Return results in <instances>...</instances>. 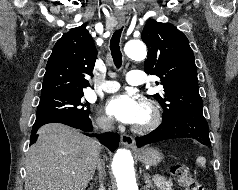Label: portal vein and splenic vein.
<instances>
[{
    "label": "portal vein and splenic vein",
    "instance_id": "obj_1",
    "mask_svg": "<svg viewBox=\"0 0 238 190\" xmlns=\"http://www.w3.org/2000/svg\"><path fill=\"white\" fill-rule=\"evenodd\" d=\"M157 176L155 175L154 177H153V179H155Z\"/></svg>",
    "mask_w": 238,
    "mask_h": 190
}]
</instances>
